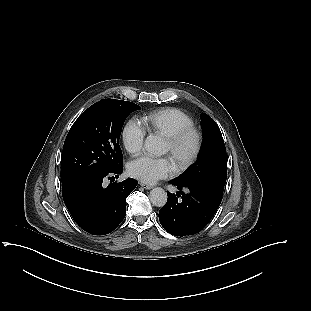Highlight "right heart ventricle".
Masks as SVG:
<instances>
[{
	"label": "right heart ventricle",
	"mask_w": 311,
	"mask_h": 311,
	"mask_svg": "<svg viewBox=\"0 0 311 311\" xmlns=\"http://www.w3.org/2000/svg\"><path fill=\"white\" fill-rule=\"evenodd\" d=\"M144 125L148 131L167 137L176 131L193 126L192 117L185 111L167 107L144 116Z\"/></svg>",
	"instance_id": "e07e8e85"
}]
</instances>
